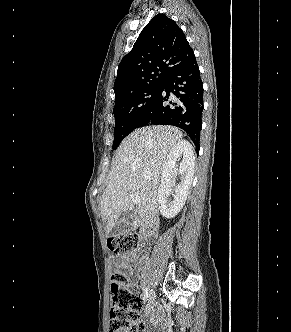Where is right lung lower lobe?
<instances>
[{
	"label": "right lung lower lobe",
	"mask_w": 291,
	"mask_h": 332,
	"mask_svg": "<svg viewBox=\"0 0 291 332\" xmlns=\"http://www.w3.org/2000/svg\"><path fill=\"white\" fill-rule=\"evenodd\" d=\"M202 111L203 86L194 58L166 77L137 128L148 124L177 126L188 133L198 151Z\"/></svg>",
	"instance_id": "right-lung-lower-lobe-1"
}]
</instances>
